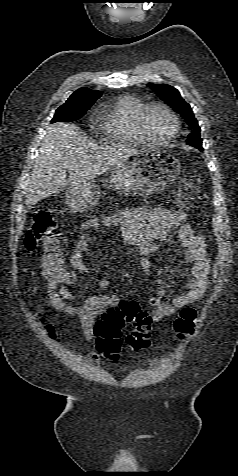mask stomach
Returning a JSON list of instances; mask_svg holds the SVG:
<instances>
[{"instance_id":"obj_1","label":"stomach","mask_w":238,"mask_h":476,"mask_svg":"<svg viewBox=\"0 0 238 476\" xmlns=\"http://www.w3.org/2000/svg\"><path fill=\"white\" fill-rule=\"evenodd\" d=\"M179 160L165 151H133L117 164L108 188L124 195H156L172 184L180 174ZM100 187L95 181L71 186L65 196L68 208L74 212L92 210L99 201Z\"/></svg>"}]
</instances>
